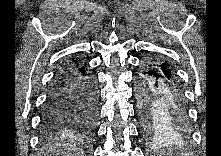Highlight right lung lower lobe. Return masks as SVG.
Returning <instances> with one entry per match:
<instances>
[{"label": "right lung lower lobe", "mask_w": 221, "mask_h": 156, "mask_svg": "<svg viewBox=\"0 0 221 156\" xmlns=\"http://www.w3.org/2000/svg\"><path fill=\"white\" fill-rule=\"evenodd\" d=\"M98 106L97 86L84 66L65 68L55 78L42 115L44 132L92 127Z\"/></svg>", "instance_id": "98d812e1"}]
</instances>
